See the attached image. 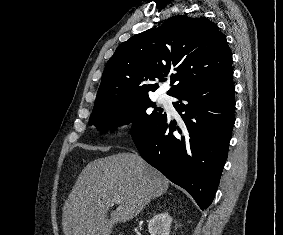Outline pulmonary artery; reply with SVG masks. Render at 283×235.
Instances as JSON below:
<instances>
[{
    "mask_svg": "<svg viewBox=\"0 0 283 235\" xmlns=\"http://www.w3.org/2000/svg\"><path fill=\"white\" fill-rule=\"evenodd\" d=\"M162 101L165 103H169L170 102V98L167 95H163L162 96Z\"/></svg>",
    "mask_w": 283,
    "mask_h": 235,
    "instance_id": "1",
    "label": "pulmonary artery"
}]
</instances>
